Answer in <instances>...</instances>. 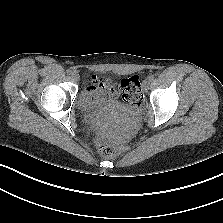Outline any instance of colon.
<instances>
[{"mask_svg":"<svg viewBox=\"0 0 223 223\" xmlns=\"http://www.w3.org/2000/svg\"><path fill=\"white\" fill-rule=\"evenodd\" d=\"M122 99L131 107L137 108L141 105L143 96L140 87V81L137 76H131L121 82ZM99 149L105 156H113L117 148L106 141L99 142Z\"/></svg>","mask_w":223,"mask_h":223,"instance_id":"1","label":"colon"}]
</instances>
